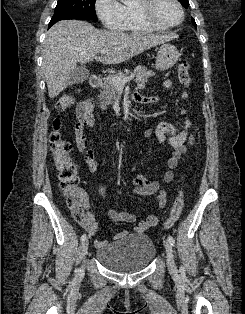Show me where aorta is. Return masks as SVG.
<instances>
[{
	"mask_svg": "<svg viewBox=\"0 0 245 314\" xmlns=\"http://www.w3.org/2000/svg\"><path fill=\"white\" fill-rule=\"evenodd\" d=\"M121 2H126L127 0H120Z\"/></svg>",
	"mask_w": 245,
	"mask_h": 314,
	"instance_id": "762f6f07",
	"label": "aorta"
}]
</instances>
